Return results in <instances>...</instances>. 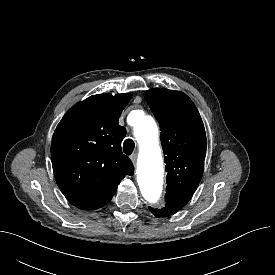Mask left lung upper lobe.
I'll use <instances>...</instances> for the list:
<instances>
[{
  "label": "left lung upper lobe",
  "instance_id": "5c2ea615",
  "mask_svg": "<svg viewBox=\"0 0 275 275\" xmlns=\"http://www.w3.org/2000/svg\"><path fill=\"white\" fill-rule=\"evenodd\" d=\"M144 96L160 123L167 171L165 196L191 197L201 180L206 156L201 116L192 100L180 91L154 88Z\"/></svg>",
  "mask_w": 275,
  "mask_h": 275
}]
</instances>
